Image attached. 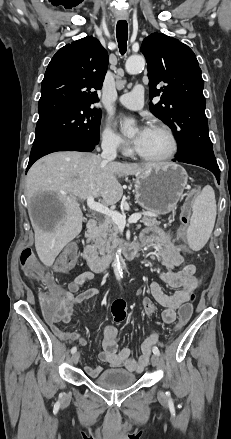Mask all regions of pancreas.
Here are the masks:
<instances>
[{
	"mask_svg": "<svg viewBox=\"0 0 231 439\" xmlns=\"http://www.w3.org/2000/svg\"><path fill=\"white\" fill-rule=\"evenodd\" d=\"M143 215L144 216L141 219V223H143L145 226L152 227L160 225L161 222L156 218H150L147 213H143ZM118 233V226L110 217L105 216L103 222L98 225L92 234L91 241L94 243V246L98 248L100 254L105 255L118 244Z\"/></svg>",
	"mask_w": 231,
	"mask_h": 439,
	"instance_id": "cf45deb5",
	"label": "pancreas"
}]
</instances>
